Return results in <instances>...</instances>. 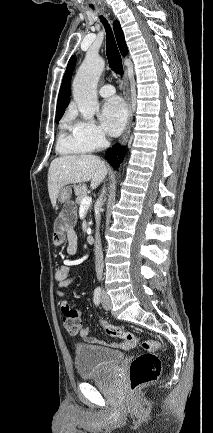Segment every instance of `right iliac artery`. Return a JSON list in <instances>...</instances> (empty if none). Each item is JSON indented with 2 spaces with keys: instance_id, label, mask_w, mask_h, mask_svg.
<instances>
[{
  "instance_id": "right-iliac-artery-1",
  "label": "right iliac artery",
  "mask_w": 213,
  "mask_h": 433,
  "mask_svg": "<svg viewBox=\"0 0 213 433\" xmlns=\"http://www.w3.org/2000/svg\"><path fill=\"white\" fill-rule=\"evenodd\" d=\"M101 294H102L101 289L99 287L96 288L94 291L93 301H94L95 305H97V306L101 302Z\"/></svg>"
}]
</instances>
